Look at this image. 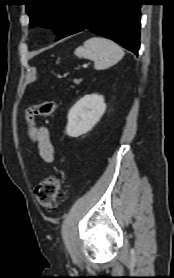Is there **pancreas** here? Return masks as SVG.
Here are the masks:
<instances>
[{
  "instance_id": "obj_1",
  "label": "pancreas",
  "mask_w": 174,
  "mask_h": 278,
  "mask_svg": "<svg viewBox=\"0 0 174 278\" xmlns=\"http://www.w3.org/2000/svg\"><path fill=\"white\" fill-rule=\"evenodd\" d=\"M75 82H76V83H79V82H80V80H76Z\"/></svg>"
}]
</instances>
